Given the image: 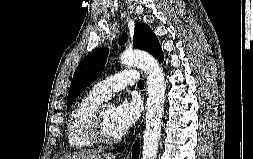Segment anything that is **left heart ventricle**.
<instances>
[{
  "mask_svg": "<svg viewBox=\"0 0 253 159\" xmlns=\"http://www.w3.org/2000/svg\"><path fill=\"white\" fill-rule=\"evenodd\" d=\"M103 126L105 133L109 137H116L121 135L116 127L114 121V108L112 106L106 105L103 109Z\"/></svg>",
  "mask_w": 253,
  "mask_h": 159,
  "instance_id": "left-heart-ventricle-1",
  "label": "left heart ventricle"
}]
</instances>
